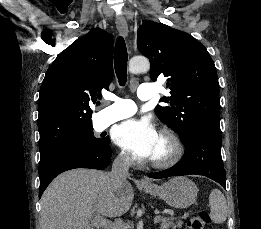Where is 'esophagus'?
Listing matches in <instances>:
<instances>
[{
  "label": "esophagus",
  "mask_w": 261,
  "mask_h": 229,
  "mask_svg": "<svg viewBox=\"0 0 261 229\" xmlns=\"http://www.w3.org/2000/svg\"><path fill=\"white\" fill-rule=\"evenodd\" d=\"M115 23H116V27H117V30L119 31V33L121 35H123L124 37H127L129 31H128V26H127V22H126L125 18L121 17V16H117ZM140 184L148 185V184H151V182L147 181L146 179H140Z\"/></svg>",
  "instance_id": "34e87169"
}]
</instances>
